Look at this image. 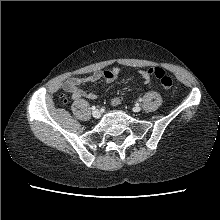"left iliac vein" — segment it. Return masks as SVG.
<instances>
[{"label": "left iliac vein", "instance_id": "obj_1", "mask_svg": "<svg viewBox=\"0 0 220 220\" xmlns=\"http://www.w3.org/2000/svg\"><path fill=\"white\" fill-rule=\"evenodd\" d=\"M133 111L136 112V113L140 112L141 111V107L139 105H136V106L133 107Z\"/></svg>", "mask_w": 220, "mask_h": 220}]
</instances>
